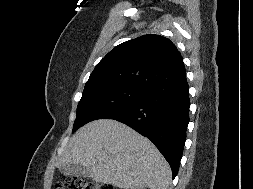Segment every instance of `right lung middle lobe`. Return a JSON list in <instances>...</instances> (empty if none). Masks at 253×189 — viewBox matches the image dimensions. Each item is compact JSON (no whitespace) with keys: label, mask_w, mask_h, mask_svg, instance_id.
I'll use <instances>...</instances> for the list:
<instances>
[{"label":"right lung middle lobe","mask_w":253,"mask_h":189,"mask_svg":"<svg viewBox=\"0 0 253 189\" xmlns=\"http://www.w3.org/2000/svg\"><path fill=\"white\" fill-rule=\"evenodd\" d=\"M146 93V90L126 86H107L83 92L72 133L90 121L105 118L136 103Z\"/></svg>","instance_id":"1"}]
</instances>
